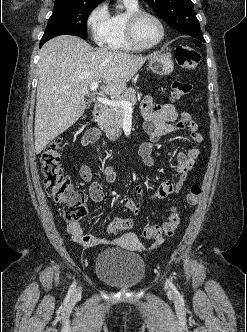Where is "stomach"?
Returning <instances> with one entry per match:
<instances>
[{
    "label": "stomach",
    "instance_id": "obj_1",
    "mask_svg": "<svg viewBox=\"0 0 247 332\" xmlns=\"http://www.w3.org/2000/svg\"><path fill=\"white\" fill-rule=\"evenodd\" d=\"M174 63L170 54L156 53L150 57L149 69L158 75H168L173 71Z\"/></svg>",
    "mask_w": 247,
    "mask_h": 332
}]
</instances>
